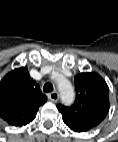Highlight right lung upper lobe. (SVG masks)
Segmentation results:
<instances>
[{
    "instance_id": "obj_1",
    "label": "right lung upper lobe",
    "mask_w": 118,
    "mask_h": 142,
    "mask_svg": "<svg viewBox=\"0 0 118 142\" xmlns=\"http://www.w3.org/2000/svg\"><path fill=\"white\" fill-rule=\"evenodd\" d=\"M46 100L24 67L12 70L0 81V117L10 125L30 123Z\"/></svg>"
}]
</instances>
